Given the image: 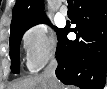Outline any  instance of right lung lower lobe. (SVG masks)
<instances>
[{"instance_id": "right-lung-lower-lobe-1", "label": "right lung lower lobe", "mask_w": 107, "mask_h": 89, "mask_svg": "<svg viewBox=\"0 0 107 89\" xmlns=\"http://www.w3.org/2000/svg\"><path fill=\"white\" fill-rule=\"evenodd\" d=\"M74 29H61L56 58L57 78L82 89H103L107 69V0H74ZM76 33L74 41L67 39Z\"/></svg>"}]
</instances>
